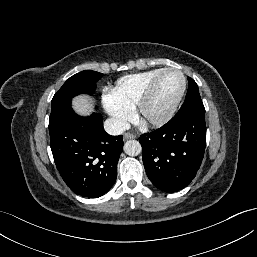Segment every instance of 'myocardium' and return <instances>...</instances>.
Wrapping results in <instances>:
<instances>
[{
  "label": "myocardium",
  "mask_w": 257,
  "mask_h": 257,
  "mask_svg": "<svg viewBox=\"0 0 257 257\" xmlns=\"http://www.w3.org/2000/svg\"><path fill=\"white\" fill-rule=\"evenodd\" d=\"M169 72H176L179 73L182 77V88L181 91L176 98V100L173 102V104L160 116L155 118H150L147 116V108L152 101L156 90L158 88V85L162 79V77ZM187 89V78L185 74L177 69V68H165L162 72H160L151 82V84L148 86L146 91L143 93L141 98L139 99L137 103V118L138 120L147 127H160L165 125L167 122H169L173 116L175 115L184 95Z\"/></svg>",
  "instance_id": "f54148a6"
}]
</instances>
